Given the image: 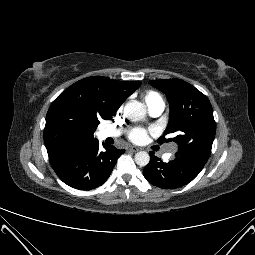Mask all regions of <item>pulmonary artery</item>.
I'll return each mask as SVG.
<instances>
[{"instance_id": "1", "label": "pulmonary artery", "mask_w": 255, "mask_h": 255, "mask_svg": "<svg viewBox=\"0 0 255 255\" xmlns=\"http://www.w3.org/2000/svg\"><path fill=\"white\" fill-rule=\"evenodd\" d=\"M164 108H165V104L164 103H158V104L152 106L151 108H149V113L153 117H158L164 111ZM119 134H120L119 131H114V130H107L106 129V130H102L101 131V136L103 138L116 137ZM174 151H175V148L172 147L170 149V151L164 155V157L166 159L170 158Z\"/></svg>"}]
</instances>
